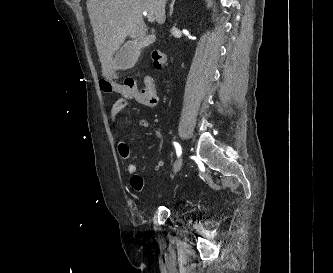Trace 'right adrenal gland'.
I'll return each instance as SVG.
<instances>
[{
  "label": "right adrenal gland",
  "mask_w": 333,
  "mask_h": 273,
  "mask_svg": "<svg viewBox=\"0 0 333 273\" xmlns=\"http://www.w3.org/2000/svg\"><path fill=\"white\" fill-rule=\"evenodd\" d=\"M176 0H172L171 4H170V16H172L173 14V7H174V3H175Z\"/></svg>",
  "instance_id": "right-adrenal-gland-1"
}]
</instances>
